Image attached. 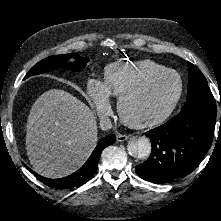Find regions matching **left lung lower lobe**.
Listing matches in <instances>:
<instances>
[{"label":"left lung lower lobe","mask_w":221,"mask_h":221,"mask_svg":"<svg viewBox=\"0 0 221 221\" xmlns=\"http://www.w3.org/2000/svg\"><path fill=\"white\" fill-rule=\"evenodd\" d=\"M216 124L215 101L196 100L169 122L146 132L150 157L135 167L144 180L164 183L193 172L210 149Z\"/></svg>","instance_id":"1"}]
</instances>
